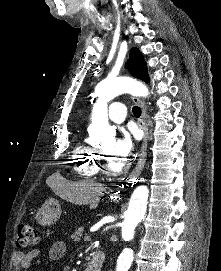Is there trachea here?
<instances>
[{
  "label": "trachea",
  "mask_w": 221,
  "mask_h": 271,
  "mask_svg": "<svg viewBox=\"0 0 221 271\" xmlns=\"http://www.w3.org/2000/svg\"><path fill=\"white\" fill-rule=\"evenodd\" d=\"M132 113H133L134 116H136V118H139L141 116V113H142L141 108H139V106H134L132 108Z\"/></svg>",
  "instance_id": "trachea-1"
}]
</instances>
